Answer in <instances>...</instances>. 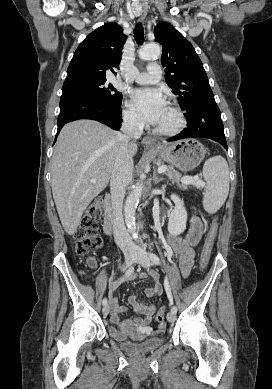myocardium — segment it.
Segmentation results:
<instances>
[{
  "label": "myocardium",
  "mask_w": 272,
  "mask_h": 389,
  "mask_svg": "<svg viewBox=\"0 0 272 389\" xmlns=\"http://www.w3.org/2000/svg\"><path fill=\"white\" fill-rule=\"evenodd\" d=\"M168 107L175 114L176 120H175V123L173 124V126H171L169 128H158L156 126L154 127V129H153L154 133L161 135V136L176 135L179 132H181L182 129L186 125V118H185V115H184V112L182 111V109L174 103H169Z\"/></svg>",
  "instance_id": "obj_1"
}]
</instances>
